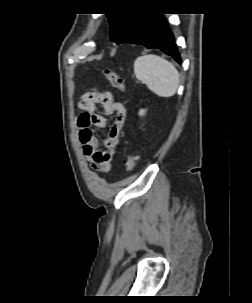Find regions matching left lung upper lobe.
Here are the masks:
<instances>
[{"label": "left lung upper lobe", "instance_id": "1", "mask_svg": "<svg viewBox=\"0 0 252 303\" xmlns=\"http://www.w3.org/2000/svg\"><path fill=\"white\" fill-rule=\"evenodd\" d=\"M106 15L109 18L111 40L119 43L146 13H113Z\"/></svg>", "mask_w": 252, "mask_h": 303}]
</instances>
